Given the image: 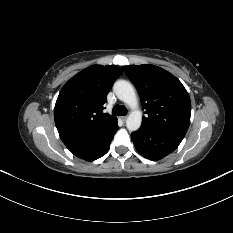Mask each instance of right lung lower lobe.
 <instances>
[{"mask_svg":"<svg viewBox=\"0 0 233 233\" xmlns=\"http://www.w3.org/2000/svg\"><path fill=\"white\" fill-rule=\"evenodd\" d=\"M117 130L118 124L116 121L86 138L72 141L65 145L75 156L87 161H93L108 152L110 143Z\"/></svg>","mask_w":233,"mask_h":233,"instance_id":"obj_1","label":"right lung lower lobe"}]
</instances>
